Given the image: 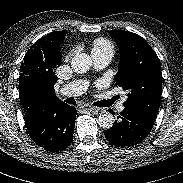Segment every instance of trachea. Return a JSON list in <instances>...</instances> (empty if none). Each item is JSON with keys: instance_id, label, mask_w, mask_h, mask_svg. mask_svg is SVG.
Returning <instances> with one entry per match:
<instances>
[{"instance_id": "obj_1", "label": "trachea", "mask_w": 183, "mask_h": 183, "mask_svg": "<svg viewBox=\"0 0 183 183\" xmlns=\"http://www.w3.org/2000/svg\"><path fill=\"white\" fill-rule=\"evenodd\" d=\"M115 100V98H113V100L112 101H114ZM70 104H73V102H71Z\"/></svg>"}]
</instances>
